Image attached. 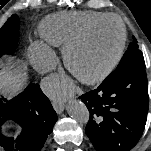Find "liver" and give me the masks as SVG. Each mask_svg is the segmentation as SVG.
I'll list each match as a JSON object with an SVG mask.
<instances>
[{
	"mask_svg": "<svg viewBox=\"0 0 151 151\" xmlns=\"http://www.w3.org/2000/svg\"><path fill=\"white\" fill-rule=\"evenodd\" d=\"M26 67L20 65L18 69L7 64L0 70V93L12 97L19 93L27 82Z\"/></svg>",
	"mask_w": 151,
	"mask_h": 151,
	"instance_id": "obj_1",
	"label": "liver"
}]
</instances>
